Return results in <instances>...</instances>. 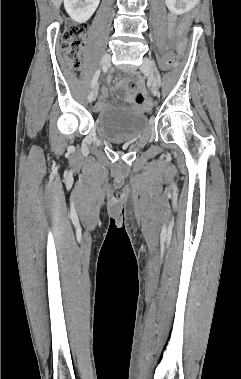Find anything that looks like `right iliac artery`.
Listing matches in <instances>:
<instances>
[{
    "label": "right iliac artery",
    "instance_id": "82829eb1",
    "mask_svg": "<svg viewBox=\"0 0 241 379\" xmlns=\"http://www.w3.org/2000/svg\"><path fill=\"white\" fill-rule=\"evenodd\" d=\"M100 73H101V70L98 69L93 77V80H92V88L96 85L97 81H98V78L100 76Z\"/></svg>",
    "mask_w": 241,
    "mask_h": 379
}]
</instances>
